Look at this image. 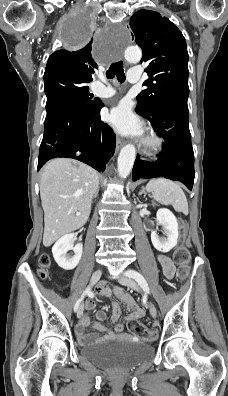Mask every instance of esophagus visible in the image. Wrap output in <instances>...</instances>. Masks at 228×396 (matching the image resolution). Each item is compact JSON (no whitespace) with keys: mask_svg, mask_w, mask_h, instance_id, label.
<instances>
[{"mask_svg":"<svg viewBox=\"0 0 228 396\" xmlns=\"http://www.w3.org/2000/svg\"><path fill=\"white\" fill-rule=\"evenodd\" d=\"M123 140L121 138H117L116 140V151H119V149L123 146Z\"/></svg>","mask_w":228,"mask_h":396,"instance_id":"1","label":"esophagus"}]
</instances>
